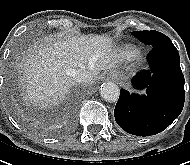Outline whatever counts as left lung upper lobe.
Masks as SVG:
<instances>
[{"instance_id":"1","label":"left lung upper lobe","mask_w":190,"mask_h":165,"mask_svg":"<svg viewBox=\"0 0 190 165\" xmlns=\"http://www.w3.org/2000/svg\"><path fill=\"white\" fill-rule=\"evenodd\" d=\"M132 34L141 42L151 47H154L165 40H169V38L166 35L154 30L134 31L132 32Z\"/></svg>"}]
</instances>
